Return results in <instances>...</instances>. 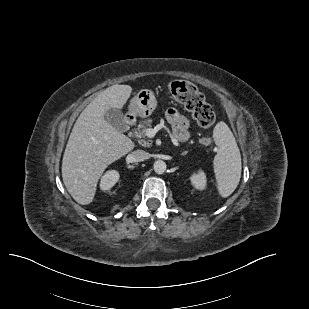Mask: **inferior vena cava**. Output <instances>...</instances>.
<instances>
[{"mask_svg":"<svg viewBox=\"0 0 309 309\" xmlns=\"http://www.w3.org/2000/svg\"><path fill=\"white\" fill-rule=\"evenodd\" d=\"M131 157L134 162H141V161L147 160L150 157V155L149 153L143 150H136L132 152Z\"/></svg>","mask_w":309,"mask_h":309,"instance_id":"602c4592","label":"inferior vena cava"}]
</instances>
